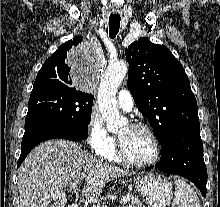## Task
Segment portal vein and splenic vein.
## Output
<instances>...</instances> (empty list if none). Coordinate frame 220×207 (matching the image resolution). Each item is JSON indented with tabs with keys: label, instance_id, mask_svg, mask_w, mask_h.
Here are the masks:
<instances>
[{
	"label": "portal vein and splenic vein",
	"instance_id": "1",
	"mask_svg": "<svg viewBox=\"0 0 220 207\" xmlns=\"http://www.w3.org/2000/svg\"><path fill=\"white\" fill-rule=\"evenodd\" d=\"M77 182H73V183H71L70 185H69V189L70 190H72V191H75L76 190V188H77ZM129 200H131V198L129 197V196H125V197H123L121 200H120V204H125V203H127ZM92 207H96V202H94L93 204H92ZM105 207H107V206H105Z\"/></svg>",
	"mask_w": 220,
	"mask_h": 207
}]
</instances>
